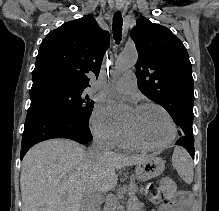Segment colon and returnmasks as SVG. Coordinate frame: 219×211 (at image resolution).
I'll return each instance as SVG.
<instances>
[{
    "label": "colon",
    "instance_id": "5ec220e1",
    "mask_svg": "<svg viewBox=\"0 0 219 211\" xmlns=\"http://www.w3.org/2000/svg\"><path fill=\"white\" fill-rule=\"evenodd\" d=\"M160 188L168 201H174L176 195L175 182L169 177L160 180Z\"/></svg>",
    "mask_w": 219,
    "mask_h": 211
}]
</instances>
